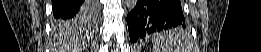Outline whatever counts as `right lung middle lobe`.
Returning <instances> with one entry per match:
<instances>
[{
    "label": "right lung middle lobe",
    "mask_w": 261,
    "mask_h": 52,
    "mask_svg": "<svg viewBox=\"0 0 261 52\" xmlns=\"http://www.w3.org/2000/svg\"><path fill=\"white\" fill-rule=\"evenodd\" d=\"M90 4L94 8V10L98 7L97 1H90ZM85 18H86L85 13H81L80 15L76 16L74 19H68V20H66V19H57L56 20V24L58 26H64V25L70 26L71 23L81 22V21L85 20ZM90 21L92 22V18L88 19L89 23H90Z\"/></svg>",
    "instance_id": "dd1d6c3e"
}]
</instances>
